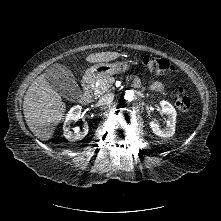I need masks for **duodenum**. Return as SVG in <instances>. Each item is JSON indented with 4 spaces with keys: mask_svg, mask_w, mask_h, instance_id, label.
Segmentation results:
<instances>
[{
    "mask_svg": "<svg viewBox=\"0 0 221 221\" xmlns=\"http://www.w3.org/2000/svg\"><path fill=\"white\" fill-rule=\"evenodd\" d=\"M92 84V78L89 76L83 77L81 81L82 86V94L79 98L80 103L82 104H89L91 102V92H90V86Z\"/></svg>",
    "mask_w": 221,
    "mask_h": 221,
    "instance_id": "duodenum-1",
    "label": "duodenum"
}]
</instances>
